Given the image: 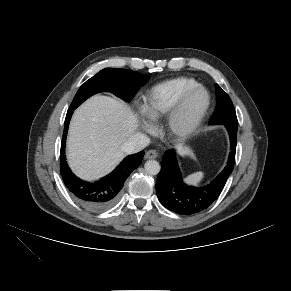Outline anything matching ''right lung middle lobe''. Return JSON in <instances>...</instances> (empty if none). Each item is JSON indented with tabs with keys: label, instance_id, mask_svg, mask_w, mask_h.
I'll return each instance as SVG.
<instances>
[{
	"label": "right lung middle lobe",
	"instance_id": "obj_1",
	"mask_svg": "<svg viewBox=\"0 0 291 291\" xmlns=\"http://www.w3.org/2000/svg\"><path fill=\"white\" fill-rule=\"evenodd\" d=\"M145 75L127 69L105 68L86 81L77 91L69 109L77 108L83 101L97 92L109 91L130 101L139 87L148 81Z\"/></svg>",
	"mask_w": 291,
	"mask_h": 291
}]
</instances>
